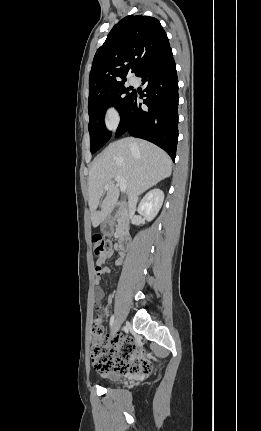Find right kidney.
<instances>
[{
	"label": "right kidney",
	"mask_w": 261,
	"mask_h": 431,
	"mask_svg": "<svg viewBox=\"0 0 261 431\" xmlns=\"http://www.w3.org/2000/svg\"><path fill=\"white\" fill-rule=\"evenodd\" d=\"M164 192L160 189L149 191L139 204L138 212L147 221H152L162 207Z\"/></svg>",
	"instance_id": "1"
}]
</instances>
